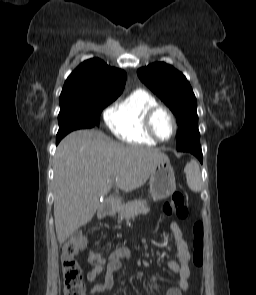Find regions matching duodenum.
<instances>
[{"label":"duodenum","mask_w":256,"mask_h":295,"mask_svg":"<svg viewBox=\"0 0 256 295\" xmlns=\"http://www.w3.org/2000/svg\"><path fill=\"white\" fill-rule=\"evenodd\" d=\"M114 209V203L113 202H106L103 204H100L99 206V216L100 218L108 217L112 214Z\"/></svg>","instance_id":"duodenum-1"}]
</instances>
